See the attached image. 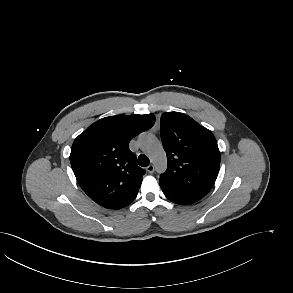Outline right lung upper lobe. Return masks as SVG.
<instances>
[{
	"label": "right lung upper lobe",
	"instance_id": "cb5924a9",
	"mask_svg": "<svg viewBox=\"0 0 293 293\" xmlns=\"http://www.w3.org/2000/svg\"><path fill=\"white\" fill-rule=\"evenodd\" d=\"M155 123L153 114L116 115L93 123L74 141L70 162L84 192L109 209L128 206L137 196L145 171L129 142Z\"/></svg>",
	"mask_w": 293,
	"mask_h": 293
}]
</instances>
